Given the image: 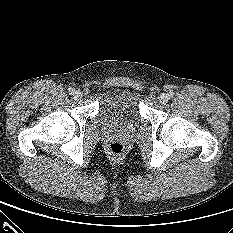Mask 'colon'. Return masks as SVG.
<instances>
[{"instance_id": "obj_1", "label": "colon", "mask_w": 233, "mask_h": 233, "mask_svg": "<svg viewBox=\"0 0 233 233\" xmlns=\"http://www.w3.org/2000/svg\"><path fill=\"white\" fill-rule=\"evenodd\" d=\"M108 151L113 159H120L124 153V146L119 142H112L108 146Z\"/></svg>"}]
</instances>
